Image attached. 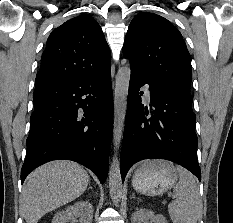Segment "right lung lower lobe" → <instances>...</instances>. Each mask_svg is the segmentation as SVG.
I'll list each match as a JSON object with an SVG mask.
<instances>
[{
  "instance_id": "obj_1",
  "label": "right lung lower lobe",
  "mask_w": 233,
  "mask_h": 223,
  "mask_svg": "<svg viewBox=\"0 0 233 223\" xmlns=\"http://www.w3.org/2000/svg\"><path fill=\"white\" fill-rule=\"evenodd\" d=\"M110 68L36 87L22 183L33 169L58 159L76 161L105 182L113 128Z\"/></svg>"
}]
</instances>
